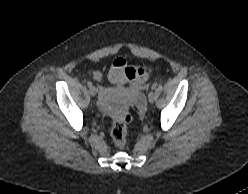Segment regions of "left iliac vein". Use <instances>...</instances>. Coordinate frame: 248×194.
Listing matches in <instances>:
<instances>
[{
	"label": "left iliac vein",
	"instance_id": "4c4485c4",
	"mask_svg": "<svg viewBox=\"0 0 248 194\" xmlns=\"http://www.w3.org/2000/svg\"><path fill=\"white\" fill-rule=\"evenodd\" d=\"M156 94L153 92V91H151L149 94H148V100H149V102L150 103H153L155 100H156Z\"/></svg>",
	"mask_w": 248,
	"mask_h": 194
}]
</instances>
